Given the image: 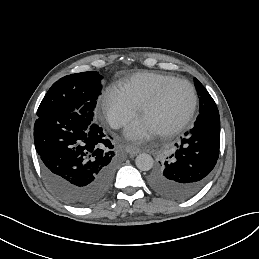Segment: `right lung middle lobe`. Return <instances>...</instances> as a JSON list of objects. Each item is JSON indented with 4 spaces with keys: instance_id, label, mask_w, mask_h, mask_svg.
I'll return each mask as SVG.
<instances>
[{
    "instance_id": "1",
    "label": "right lung middle lobe",
    "mask_w": 259,
    "mask_h": 259,
    "mask_svg": "<svg viewBox=\"0 0 259 259\" xmlns=\"http://www.w3.org/2000/svg\"><path fill=\"white\" fill-rule=\"evenodd\" d=\"M102 76L98 72H82L59 79L43 98L37 116L49 113L76 112L90 122H95L94 108L101 94Z\"/></svg>"
}]
</instances>
